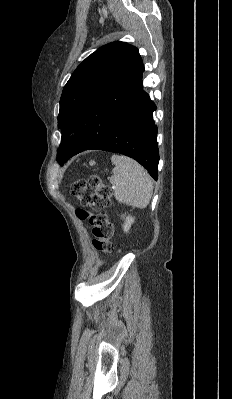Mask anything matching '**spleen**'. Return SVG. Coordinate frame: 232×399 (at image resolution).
<instances>
[{
	"mask_svg": "<svg viewBox=\"0 0 232 399\" xmlns=\"http://www.w3.org/2000/svg\"><path fill=\"white\" fill-rule=\"evenodd\" d=\"M115 168L110 178L115 200L133 207H146L152 198L153 182L147 170L126 156H112Z\"/></svg>",
	"mask_w": 232,
	"mask_h": 399,
	"instance_id": "1",
	"label": "spleen"
}]
</instances>
